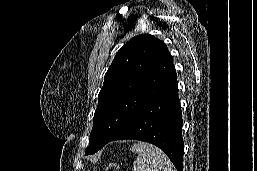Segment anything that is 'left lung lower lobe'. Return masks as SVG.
<instances>
[{
    "label": "left lung lower lobe",
    "mask_w": 257,
    "mask_h": 171,
    "mask_svg": "<svg viewBox=\"0 0 257 171\" xmlns=\"http://www.w3.org/2000/svg\"><path fill=\"white\" fill-rule=\"evenodd\" d=\"M182 125L177 74L173 66L166 80L153 97L141 108L131 122L109 142L126 139L149 142L166 153L177 171H183ZM106 144L86 155L94 154Z\"/></svg>",
    "instance_id": "obj_1"
}]
</instances>
